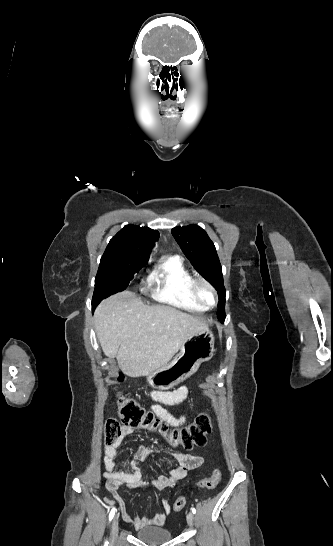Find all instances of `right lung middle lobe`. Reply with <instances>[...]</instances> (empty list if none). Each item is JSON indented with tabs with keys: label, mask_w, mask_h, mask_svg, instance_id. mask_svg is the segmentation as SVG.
Returning a JSON list of instances; mask_svg holds the SVG:
<instances>
[{
	"label": "right lung middle lobe",
	"mask_w": 333,
	"mask_h": 546,
	"mask_svg": "<svg viewBox=\"0 0 333 546\" xmlns=\"http://www.w3.org/2000/svg\"><path fill=\"white\" fill-rule=\"evenodd\" d=\"M138 270L129 269V265L117 258L102 257L95 278V290L92 303L97 304L104 298L123 291Z\"/></svg>",
	"instance_id": "right-lung-middle-lobe-1"
}]
</instances>
